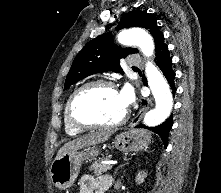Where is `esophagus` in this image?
<instances>
[{
	"label": "esophagus",
	"instance_id": "34e87169",
	"mask_svg": "<svg viewBox=\"0 0 221 193\" xmlns=\"http://www.w3.org/2000/svg\"><path fill=\"white\" fill-rule=\"evenodd\" d=\"M151 103V101H150ZM148 109V106H144L139 112L138 114L136 115V117L132 120L131 122V126H134L136 125L143 117V115L145 114V112L147 111Z\"/></svg>",
	"mask_w": 221,
	"mask_h": 193
}]
</instances>
